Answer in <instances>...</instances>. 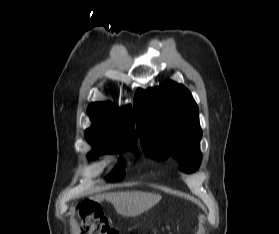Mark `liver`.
<instances>
[{
	"label": "liver",
	"mask_w": 279,
	"mask_h": 234,
	"mask_svg": "<svg viewBox=\"0 0 279 234\" xmlns=\"http://www.w3.org/2000/svg\"><path fill=\"white\" fill-rule=\"evenodd\" d=\"M103 199L112 203L118 214L136 217L156 205L161 200V196L153 193L133 191L109 193L95 197V200L98 202Z\"/></svg>",
	"instance_id": "liver-1"
}]
</instances>
